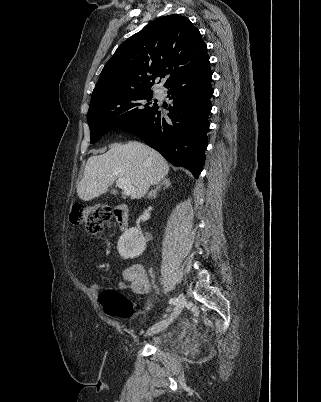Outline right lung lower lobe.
<instances>
[{"label": "right lung lower lobe", "mask_w": 321, "mask_h": 402, "mask_svg": "<svg viewBox=\"0 0 321 402\" xmlns=\"http://www.w3.org/2000/svg\"><path fill=\"white\" fill-rule=\"evenodd\" d=\"M211 76L208 64L177 78L166 86L169 99H173L169 118L162 116L158 106L148 116L120 129L137 135L174 166H183L198 178L208 144Z\"/></svg>", "instance_id": "obj_1"}]
</instances>
